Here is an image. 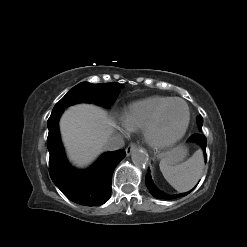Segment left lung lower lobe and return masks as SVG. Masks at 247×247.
<instances>
[{"mask_svg": "<svg viewBox=\"0 0 247 247\" xmlns=\"http://www.w3.org/2000/svg\"><path fill=\"white\" fill-rule=\"evenodd\" d=\"M188 140L199 144L201 146L203 152H204L205 157H206V137L204 135L195 133V134L191 135ZM145 182L147 184V188L150 191V193L155 198H158V199L169 200V199H175V198L183 197V196L188 195L193 190L192 189L189 192L182 193V194H176V195L165 194L155 187V185L151 179L150 170H148V172H147Z\"/></svg>", "mask_w": 247, "mask_h": 247, "instance_id": "left-lung-lower-lobe-1", "label": "left lung lower lobe"}]
</instances>
